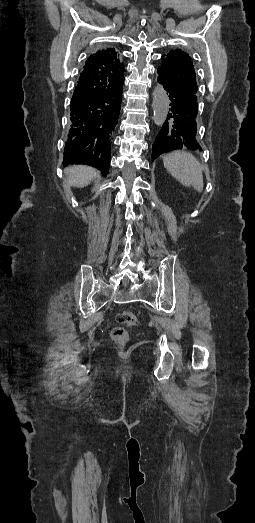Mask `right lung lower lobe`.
I'll return each instance as SVG.
<instances>
[{"label":"right lung lower lobe","mask_w":255,"mask_h":523,"mask_svg":"<svg viewBox=\"0 0 255 523\" xmlns=\"http://www.w3.org/2000/svg\"><path fill=\"white\" fill-rule=\"evenodd\" d=\"M79 112L83 114V153L92 155L94 153V142L100 137V100L97 97L90 98L89 102L83 100L79 103Z\"/></svg>","instance_id":"1"}]
</instances>
